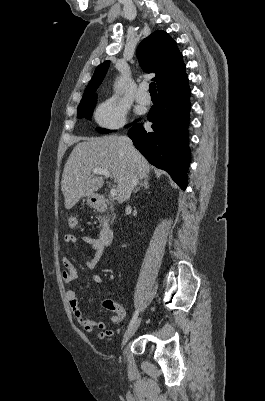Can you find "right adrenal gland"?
Here are the masks:
<instances>
[{
	"mask_svg": "<svg viewBox=\"0 0 265 401\" xmlns=\"http://www.w3.org/2000/svg\"><path fill=\"white\" fill-rule=\"evenodd\" d=\"M149 178L150 176H144V180H141L140 186H137L136 190L134 192H138L140 190L141 186H144V188H149Z\"/></svg>",
	"mask_w": 265,
	"mask_h": 401,
	"instance_id": "1",
	"label": "right adrenal gland"
}]
</instances>
